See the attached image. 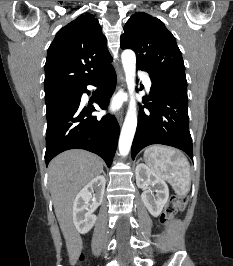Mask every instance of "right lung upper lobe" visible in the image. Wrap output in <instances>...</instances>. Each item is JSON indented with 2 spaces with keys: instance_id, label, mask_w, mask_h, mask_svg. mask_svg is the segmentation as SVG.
Returning a JSON list of instances; mask_svg holds the SVG:
<instances>
[{
  "instance_id": "obj_1",
  "label": "right lung upper lobe",
  "mask_w": 233,
  "mask_h": 266,
  "mask_svg": "<svg viewBox=\"0 0 233 266\" xmlns=\"http://www.w3.org/2000/svg\"><path fill=\"white\" fill-rule=\"evenodd\" d=\"M98 19L78 18L58 31L45 63V93L78 89L110 65L112 58Z\"/></svg>"
}]
</instances>
